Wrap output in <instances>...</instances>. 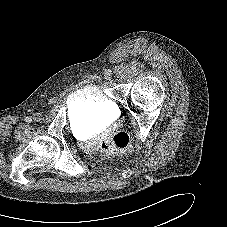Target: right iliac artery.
I'll return each mask as SVG.
<instances>
[{"mask_svg":"<svg viewBox=\"0 0 227 227\" xmlns=\"http://www.w3.org/2000/svg\"><path fill=\"white\" fill-rule=\"evenodd\" d=\"M25 120H26V122H31V118L30 117H27Z\"/></svg>","mask_w":227,"mask_h":227,"instance_id":"obj_1","label":"right iliac artery"}]
</instances>
